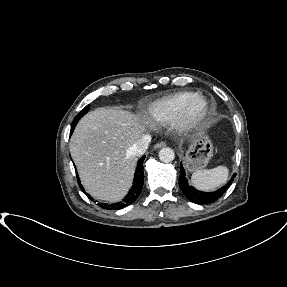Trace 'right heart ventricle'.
<instances>
[{
    "label": "right heart ventricle",
    "instance_id": "right-heart-ventricle-1",
    "mask_svg": "<svg viewBox=\"0 0 287 287\" xmlns=\"http://www.w3.org/2000/svg\"><path fill=\"white\" fill-rule=\"evenodd\" d=\"M196 93L177 92L159 98L146 107V114L150 121L156 124H165L176 118L185 103Z\"/></svg>",
    "mask_w": 287,
    "mask_h": 287
}]
</instances>
